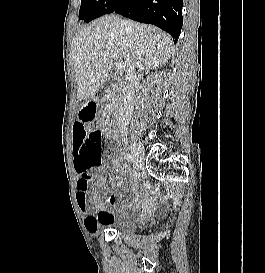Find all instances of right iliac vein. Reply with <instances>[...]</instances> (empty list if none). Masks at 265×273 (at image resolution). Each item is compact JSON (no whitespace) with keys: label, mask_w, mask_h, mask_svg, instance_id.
<instances>
[{"label":"right iliac vein","mask_w":265,"mask_h":273,"mask_svg":"<svg viewBox=\"0 0 265 273\" xmlns=\"http://www.w3.org/2000/svg\"><path fill=\"white\" fill-rule=\"evenodd\" d=\"M131 151L135 160V164H136V177H140L141 175V170H142V164H143V152L141 147L136 143L133 142L131 144Z\"/></svg>","instance_id":"right-iliac-vein-1"}]
</instances>
